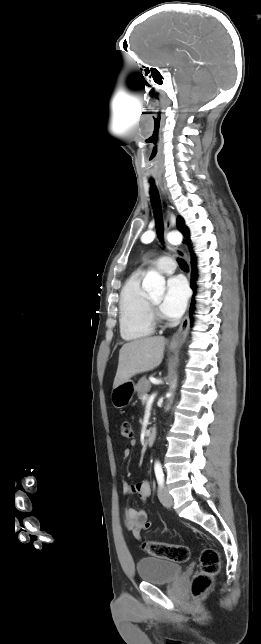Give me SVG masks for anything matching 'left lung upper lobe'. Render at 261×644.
I'll use <instances>...</instances> for the list:
<instances>
[{
    "mask_svg": "<svg viewBox=\"0 0 261 644\" xmlns=\"http://www.w3.org/2000/svg\"><path fill=\"white\" fill-rule=\"evenodd\" d=\"M177 227H178V229H179L181 232H184V233L186 234V236H187V243H189V242H190V239H189V230H188V228L185 226V224H184V220H183L182 218H180V217H178V218H177ZM190 250H191V248H190ZM191 258H195V256H194L193 252H192V257H191Z\"/></svg>",
    "mask_w": 261,
    "mask_h": 644,
    "instance_id": "obj_1",
    "label": "left lung upper lobe"
}]
</instances>
